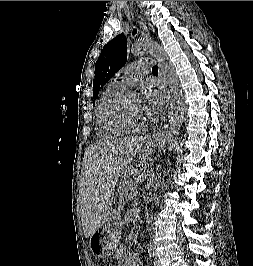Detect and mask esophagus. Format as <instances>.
<instances>
[{
    "mask_svg": "<svg viewBox=\"0 0 253 266\" xmlns=\"http://www.w3.org/2000/svg\"><path fill=\"white\" fill-rule=\"evenodd\" d=\"M159 67H160V64H159ZM160 75H161V73H160ZM165 114L166 113H164V116H163V120L165 119ZM161 126H162V123L159 125V127L149 136V139H151V138H155V137H157L159 134H160V132H161Z\"/></svg>",
    "mask_w": 253,
    "mask_h": 266,
    "instance_id": "obj_1",
    "label": "esophagus"
}]
</instances>
